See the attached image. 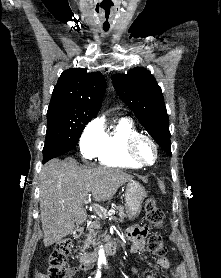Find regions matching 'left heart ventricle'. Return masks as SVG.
I'll list each match as a JSON object with an SVG mask.
<instances>
[{
	"mask_svg": "<svg viewBox=\"0 0 221 278\" xmlns=\"http://www.w3.org/2000/svg\"><path fill=\"white\" fill-rule=\"evenodd\" d=\"M138 155L143 161L147 163L153 162L155 157L153 146L148 141H141L138 146Z\"/></svg>",
	"mask_w": 221,
	"mask_h": 278,
	"instance_id": "1",
	"label": "left heart ventricle"
}]
</instances>
